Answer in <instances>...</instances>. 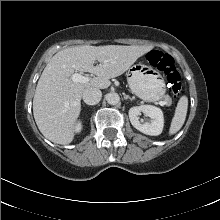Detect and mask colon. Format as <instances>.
I'll return each mask as SVG.
<instances>
[{
	"instance_id": "1",
	"label": "colon",
	"mask_w": 220,
	"mask_h": 220,
	"mask_svg": "<svg viewBox=\"0 0 220 220\" xmlns=\"http://www.w3.org/2000/svg\"><path fill=\"white\" fill-rule=\"evenodd\" d=\"M146 61L150 66L164 72L172 97L177 99L182 91V81L172 56L159 50H151L146 55Z\"/></svg>"
}]
</instances>
